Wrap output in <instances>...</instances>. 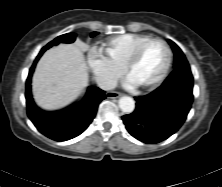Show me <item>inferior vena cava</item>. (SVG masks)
I'll return each mask as SVG.
<instances>
[{"label":"inferior vena cava","instance_id":"1","mask_svg":"<svg viewBox=\"0 0 222 187\" xmlns=\"http://www.w3.org/2000/svg\"><path fill=\"white\" fill-rule=\"evenodd\" d=\"M96 82L102 90H112L116 87V81L109 77H97Z\"/></svg>","mask_w":222,"mask_h":187}]
</instances>
